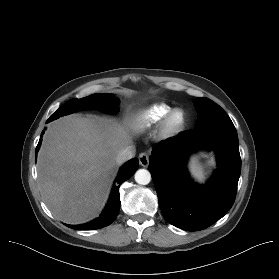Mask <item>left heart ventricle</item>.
I'll use <instances>...</instances> for the list:
<instances>
[{
  "label": "left heart ventricle",
  "instance_id": "obj_1",
  "mask_svg": "<svg viewBox=\"0 0 279 279\" xmlns=\"http://www.w3.org/2000/svg\"><path fill=\"white\" fill-rule=\"evenodd\" d=\"M180 120V116L179 115H176L175 117H174V121L175 122H178Z\"/></svg>",
  "mask_w": 279,
  "mask_h": 279
}]
</instances>
